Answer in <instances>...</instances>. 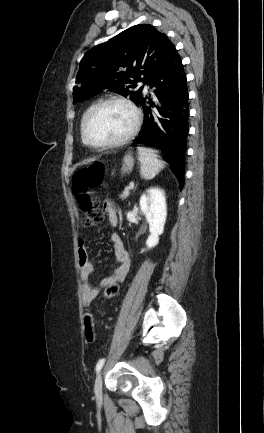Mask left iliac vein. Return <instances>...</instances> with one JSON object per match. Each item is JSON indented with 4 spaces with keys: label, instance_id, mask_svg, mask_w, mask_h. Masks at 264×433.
Returning a JSON list of instances; mask_svg holds the SVG:
<instances>
[{
    "label": "left iliac vein",
    "instance_id": "1",
    "mask_svg": "<svg viewBox=\"0 0 264 433\" xmlns=\"http://www.w3.org/2000/svg\"><path fill=\"white\" fill-rule=\"evenodd\" d=\"M94 393L97 400L102 399V372L99 373L95 380Z\"/></svg>",
    "mask_w": 264,
    "mask_h": 433
}]
</instances>
